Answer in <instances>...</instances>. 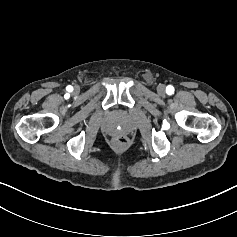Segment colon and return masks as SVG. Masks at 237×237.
<instances>
[{"instance_id": "obj_1", "label": "colon", "mask_w": 237, "mask_h": 237, "mask_svg": "<svg viewBox=\"0 0 237 237\" xmlns=\"http://www.w3.org/2000/svg\"><path fill=\"white\" fill-rule=\"evenodd\" d=\"M115 144L118 148H124L128 144V140L125 137H119L116 139Z\"/></svg>"}]
</instances>
